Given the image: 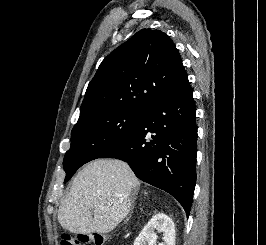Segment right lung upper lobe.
I'll return each instance as SVG.
<instances>
[{
  "label": "right lung upper lobe",
  "mask_w": 266,
  "mask_h": 245,
  "mask_svg": "<svg viewBox=\"0 0 266 245\" xmlns=\"http://www.w3.org/2000/svg\"><path fill=\"white\" fill-rule=\"evenodd\" d=\"M186 81L181 56L169 36L142 29L103 60L88 85L79 118L106 108L146 110Z\"/></svg>",
  "instance_id": "obj_1"
}]
</instances>
